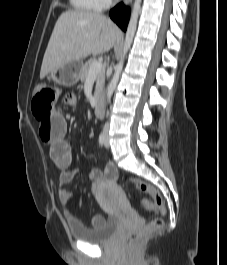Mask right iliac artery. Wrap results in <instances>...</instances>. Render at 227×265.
<instances>
[{
    "label": "right iliac artery",
    "instance_id": "82829eb1",
    "mask_svg": "<svg viewBox=\"0 0 227 265\" xmlns=\"http://www.w3.org/2000/svg\"><path fill=\"white\" fill-rule=\"evenodd\" d=\"M99 144L103 146L105 144V133L104 131L100 133L99 135Z\"/></svg>",
    "mask_w": 227,
    "mask_h": 265
}]
</instances>
